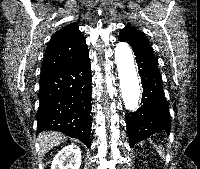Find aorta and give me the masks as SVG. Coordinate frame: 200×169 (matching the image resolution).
<instances>
[{
	"instance_id": "762f6f07",
	"label": "aorta",
	"mask_w": 200,
	"mask_h": 169,
	"mask_svg": "<svg viewBox=\"0 0 200 169\" xmlns=\"http://www.w3.org/2000/svg\"><path fill=\"white\" fill-rule=\"evenodd\" d=\"M115 62L125 108L134 111L138 108L141 90L133 52L127 43L119 42L116 45Z\"/></svg>"
}]
</instances>
